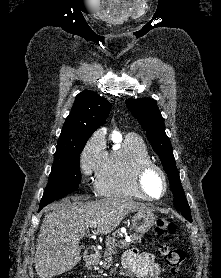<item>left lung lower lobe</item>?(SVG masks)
<instances>
[{
  "mask_svg": "<svg viewBox=\"0 0 221 278\" xmlns=\"http://www.w3.org/2000/svg\"><path fill=\"white\" fill-rule=\"evenodd\" d=\"M185 218H186L188 221L192 222L191 216H186Z\"/></svg>",
  "mask_w": 221,
  "mask_h": 278,
  "instance_id": "left-lung-lower-lobe-1",
  "label": "left lung lower lobe"
}]
</instances>
